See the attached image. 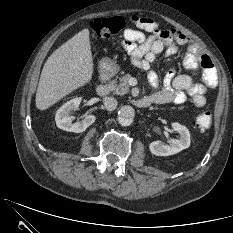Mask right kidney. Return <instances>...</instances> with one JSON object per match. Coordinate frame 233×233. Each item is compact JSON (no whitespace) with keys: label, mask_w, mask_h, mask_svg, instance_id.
<instances>
[{"label":"right kidney","mask_w":233,"mask_h":233,"mask_svg":"<svg viewBox=\"0 0 233 233\" xmlns=\"http://www.w3.org/2000/svg\"><path fill=\"white\" fill-rule=\"evenodd\" d=\"M81 102V97L71 99L63 104L56 112L55 121L58 128L65 131L80 133L84 132L87 127L93 124L96 120L94 115H84L82 121L73 123V117L70 116L71 111L78 109Z\"/></svg>","instance_id":"1"}]
</instances>
